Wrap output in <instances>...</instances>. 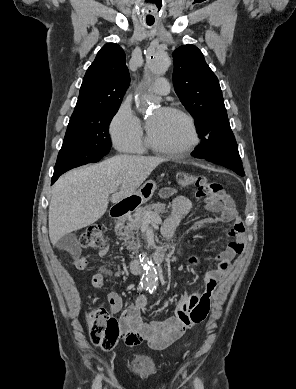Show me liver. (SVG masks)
<instances>
[{"label": "liver", "instance_id": "6515ba94", "mask_svg": "<svg viewBox=\"0 0 296 389\" xmlns=\"http://www.w3.org/2000/svg\"><path fill=\"white\" fill-rule=\"evenodd\" d=\"M164 161L160 157L118 155L61 176L49 205L51 243L55 245L63 236L95 223L106 212L109 200L116 203L131 196Z\"/></svg>", "mask_w": 296, "mask_h": 389}]
</instances>
